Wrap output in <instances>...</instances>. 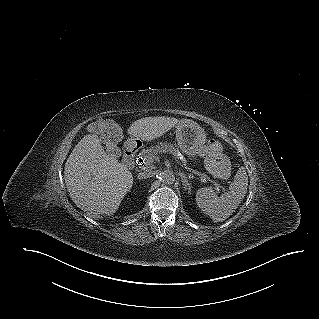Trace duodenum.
Wrapping results in <instances>:
<instances>
[{
    "mask_svg": "<svg viewBox=\"0 0 319 319\" xmlns=\"http://www.w3.org/2000/svg\"><path fill=\"white\" fill-rule=\"evenodd\" d=\"M140 145L133 142L123 144V161L128 168H134L142 163V158L138 153Z\"/></svg>",
    "mask_w": 319,
    "mask_h": 319,
    "instance_id": "1",
    "label": "duodenum"
}]
</instances>
